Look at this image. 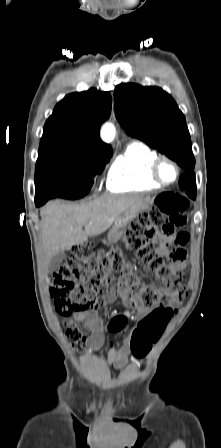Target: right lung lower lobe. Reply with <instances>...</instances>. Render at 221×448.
I'll use <instances>...</instances> for the list:
<instances>
[{
    "instance_id": "1",
    "label": "right lung lower lobe",
    "mask_w": 221,
    "mask_h": 448,
    "mask_svg": "<svg viewBox=\"0 0 221 448\" xmlns=\"http://www.w3.org/2000/svg\"><path fill=\"white\" fill-rule=\"evenodd\" d=\"M49 199H51V198H49V197H38V196H36V198H35V204H36L37 207H40V206H42L43 204H45Z\"/></svg>"
}]
</instances>
